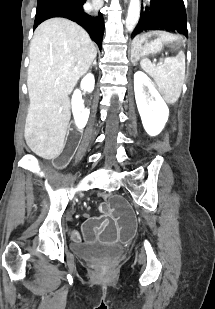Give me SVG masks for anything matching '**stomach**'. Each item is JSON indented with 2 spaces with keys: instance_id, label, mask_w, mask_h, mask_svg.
Here are the masks:
<instances>
[{
  "instance_id": "1",
  "label": "stomach",
  "mask_w": 215,
  "mask_h": 309,
  "mask_svg": "<svg viewBox=\"0 0 215 309\" xmlns=\"http://www.w3.org/2000/svg\"><path fill=\"white\" fill-rule=\"evenodd\" d=\"M182 38L163 30H152L134 37L131 43V59H139L160 53L164 49L179 52L181 55Z\"/></svg>"
}]
</instances>
